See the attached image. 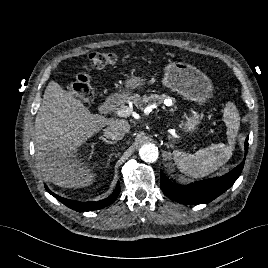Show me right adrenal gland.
<instances>
[{
	"label": "right adrenal gland",
	"mask_w": 268,
	"mask_h": 268,
	"mask_svg": "<svg viewBox=\"0 0 268 268\" xmlns=\"http://www.w3.org/2000/svg\"><path fill=\"white\" fill-rule=\"evenodd\" d=\"M99 139H101L103 142L110 144V145H114L116 142L115 141H109L106 138H104L103 136H100Z\"/></svg>",
	"instance_id": "1"
}]
</instances>
